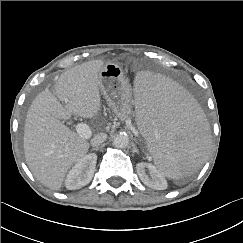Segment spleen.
I'll list each match as a JSON object with an SVG mask.
<instances>
[{"mask_svg":"<svg viewBox=\"0 0 243 243\" xmlns=\"http://www.w3.org/2000/svg\"><path fill=\"white\" fill-rule=\"evenodd\" d=\"M131 108L162 176L180 179L202 164L209 141L205 112L178 81L150 68L137 70Z\"/></svg>","mask_w":243,"mask_h":243,"instance_id":"3e777b00","label":"spleen"}]
</instances>
